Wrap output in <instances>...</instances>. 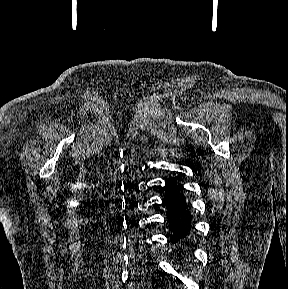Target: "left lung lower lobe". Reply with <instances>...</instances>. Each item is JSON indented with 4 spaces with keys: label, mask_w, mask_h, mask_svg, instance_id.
<instances>
[{
    "label": "left lung lower lobe",
    "mask_w": 288,
    "mask_h": 289,
    "mask_svg": "<svg viewBox=\"0 0 288 289\" xmlns=\"http://www.w3.org/2000/svg\"><path fill=\"white\" fill-rule=\"evenodd\" d=\"M167 193L163 199V205L167 209V219L171 230L170 241L175 243L186 238L191 230L192 216L188 209L183 189L174 178L166 181L164 187Z\"/></svg>",
    "instance_id": "1"
}]
</instances>
